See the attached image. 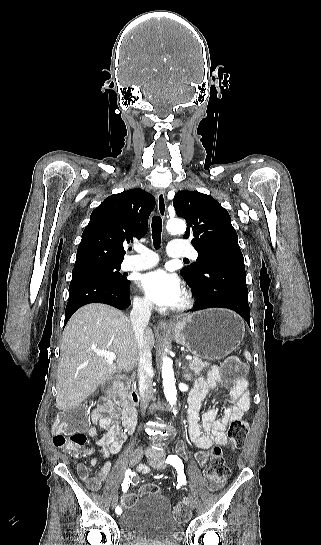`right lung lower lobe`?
Here are the masks:
<instances>
[{
    "label": "right lung lower lobe",
    "instance_id": "98d812e1",
    "mask_svg": "<svg viewBox=\"0 0 321 545\" xmlns=\"http://www.w3.org/2000/svg\"><path fill=\"white\" fill-rule=\"evenodd\" d=\"M129 285L128 280L117 282L94 274L73 275L64 323L68 322L77 309L89 303H104L118 309L129 307Z\"/></svg>",
    "mask_w": 321,
    "mask_h": 545
}]
</instances>
